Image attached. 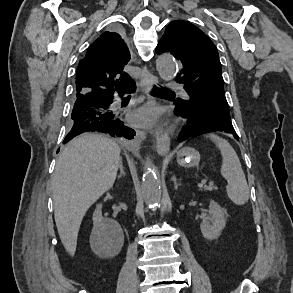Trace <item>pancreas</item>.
<instances>
[{"label":"pancreas","mask_w":293,"mask_h":293,"mask_svg":"<svg viewBox=\"0 0 293 293\" xmlns=\"http://www.w3.org/2000/svg\"><path fill=\"white\" fill-rule=\"evenodd\" d=\"M203 191H213V190H217V187L214 186V184L211 182L208 185H205L203 188Z\"/></svg>","instance_id":"1"}]
</instances>
